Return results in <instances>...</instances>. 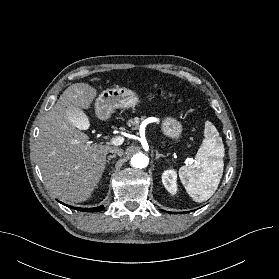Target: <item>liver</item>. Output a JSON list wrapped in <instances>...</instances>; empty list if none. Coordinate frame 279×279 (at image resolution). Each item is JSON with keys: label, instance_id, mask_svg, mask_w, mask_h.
Listing matches in <instances>:
<instances>
[{"label": "liver", "instance_id": "obj_1", "mask_svg": "<svg viewBox=\"0 0 279 279\" xmlns=\"http://www.w3.org/2000/svg\"><path fill=\"white\" fill-rule=\"evenodd\" d=\"M96 95L97 90L87 83L70 85L40 125L35 146L38 165L45 186L62 201L78 203L91 197L113 148L91 144L88 135L68 118L69 107L88 109Z\"/></svg>", "mask_w": 279, "mask_h": 279}]
</instances>
